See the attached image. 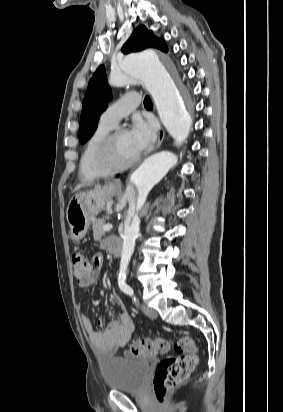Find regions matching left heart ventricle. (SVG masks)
Segmentation results:
<instances>
[{"mask_svg":"<svg viewBox=\"0 0 283 412\" xmlns=\"http://www.w3.org/2000/svg\"><path fill=\"white\" fill-rule=\"evenodd\" d=\"M138 155L127 131L119 133L116 139L115 158L119 163H126Z\"/></svg>","mask_w":283,"mask_h":412,"instance_id":"obj_1","label":"left heart ventricle"}]
</instances>
